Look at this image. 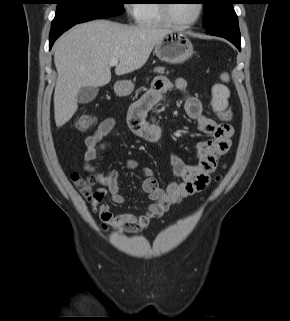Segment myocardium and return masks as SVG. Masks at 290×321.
Wrapping results in <instances>:
<instances>
[{
	"label": "myocardium",
	"instance_id": "f54148a6",
	"mask_svg": "<svg viewBox=\"0 0 290 321\" xmlns=\"http://www.w3.org/2000/svg\"><path fill=\"white\" fill-rule=\"evenodd\" d=\"M159 8L162 16L164 17L167 24L176 28H188L196 24L202 16L204 5L201 1H197V13L195 17L187 22H178L172 18L170 14L171 0H159Z\"/></svg>",
	"mask_w": 290,
	"mask_h": 321
}]
</instances>
